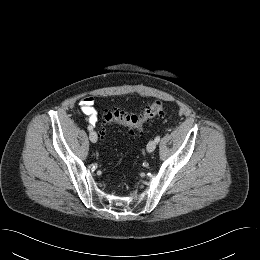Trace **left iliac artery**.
<instances>
[{"label":"left iliac artery","mask_w":260,"mask_h":260,"mask_svg":"<svg viewBox=\"0 0 260 260\" xmlns=\"http://www.w3.org/2000/svg\"><path fill=\"white\" fill-rule=\"evenodd\" d=\"M159 141H160V136H157V137L155 138V142L158 143Z\"/></svg>","instance_id":"left-iliac-artery-1"}]
</instances>
